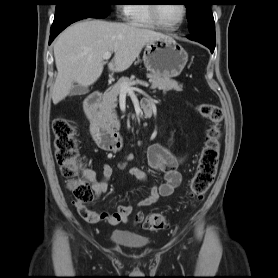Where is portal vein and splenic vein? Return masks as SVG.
<instances>
[{"label": "portal vein and splenic vein", "mask_w": 278, "mask_h": 278, "mask_svg": "<svg viewBox=\"0 0 278 278\" xmlns=\"http://www.w3.org/2000/svg\"><path fill=\"white\" fill-rule=\"evenodd\" d=\"M111 55H112L111 52H105L103 54V59L108 60V59H110ZM135 84H136V82H133L131 84H127V83L121 84L120 90H121V92H129V91L133 90L132 86L135 85ZM141 84L143 86H148L147 83H141Z\"/></svg>", "instance_id": "portal-vein-and-splenic-vein-1"}]
</instances>
